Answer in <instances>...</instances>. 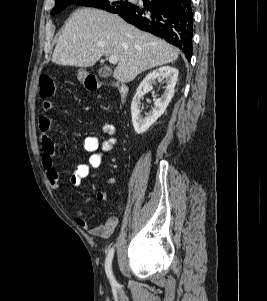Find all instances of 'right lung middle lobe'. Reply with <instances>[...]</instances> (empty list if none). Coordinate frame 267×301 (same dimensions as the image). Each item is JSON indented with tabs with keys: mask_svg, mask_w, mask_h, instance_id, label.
<instances>
[{
	"mask_svg": "<svg viewBox=\"0 0 267 301\" xmlns=\"http://www.w3.org/2000/svg\"><path fill=\"white\" fill-rule=\"evenodd\" d=\"M70 4L103 9L117 14L127 11L134 6V4L128 0H56L55 7L52 9L51 15L59 13Z\"/></svg>",
	"mask_w": 267,
	"mask_h": 301,
	"instance_id": "obj_1",
	"label": "right lung middle lobe"
}]
</instances>
